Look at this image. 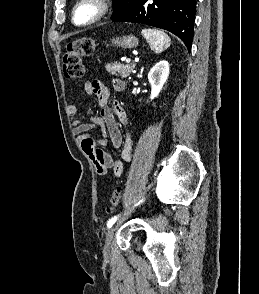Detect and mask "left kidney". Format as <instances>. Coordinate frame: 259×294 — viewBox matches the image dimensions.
<instances>
[{
  "instance_id": "5707ae66",
  "label": "left kidney",
  "mask_w": 259,
  "mask_h": 294,
  "mask_svg": "<svg viewBox=\"0 0 259 294\" xmlns=\"http://www.w3.org/2000/svg\"><path fill=\"white\" fill-rule=\"evenodd\" d=\"M168 75L169 63L165 60L158 62L151 68L148 74V80L151 84V100L159 95L160 91L163 88V85L168 79Z\"/></svg>"
}]
</instances>
